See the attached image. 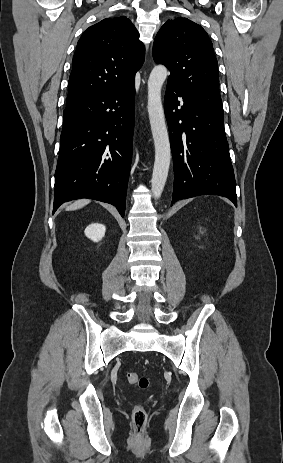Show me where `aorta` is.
<instances>
[{"instance_id":"1","label":"aorta","mask_w":283,"mask_h":463,"mask_svg":"<svg viewBox=\"0 0 283 463\" xmlns=\"http://www.w3.org/2000/svg\"><path fill=\"white\" fill-rule=\"evenodd\" d=\"M167 74V68L164 65H157L151 71L148 79L147 109L155 146L151 190L155 199L161 197L171 160L170 141L161 99V89Z\"/></svg>"}]
</instances>
